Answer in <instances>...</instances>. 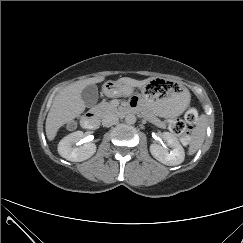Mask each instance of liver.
<instances>
[{"label": "liver", "mask_w": 243, "mask_h": 243, "mask_svg": "<svg viewBox=\"0 0 243 243\" xmlns=\"http://www.w3.org/2000/svg\"><path fill=\"white\" fill-rule=\"evenodd\" d=\"M103 80L104 77L100 76L77 81L67 86L55 96L45 124L46 136L49 141L54 140L60 127L74 120L84 112L85 103L81 98L83 89L90 84L100 83ZM151 80L152 78L138 81L124 77L118 81L127 86L142 87Z\"/></svg>", "instance_id": "obj_1"}]
</instances>
